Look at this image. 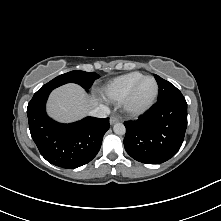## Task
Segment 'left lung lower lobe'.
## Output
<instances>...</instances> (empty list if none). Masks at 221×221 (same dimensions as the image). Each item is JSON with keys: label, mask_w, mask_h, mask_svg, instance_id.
I'll return each instance as SVG.
<instances>
[{"label": "left lung lower lobe", "mask_w": 221, "mask_h": 221, "mask_svg": "<svg viewBox=\"0 0 221 221\" xmlns=\"http://www.w3.org/2000/svg\"><path fill=\"white\" fill-rule=\"evenodd\" d=\"M124 124L127 153L142 163H163L172 158L183 143L187 102L183 96L158 101L137 121Z\"/></svg>", "instance_id": "obj_1"}]
</instances>
